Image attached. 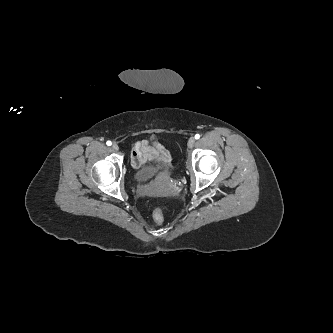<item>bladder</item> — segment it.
<instances>
[{"instance_id": "bladder-1", "label": "bladder", "mask_w": 333, "mask_h": 333, "mask_svg": "<svg viewBox=\"0 0 333 333\" xmlns=\"http://www.w3.org/2000/svg\"><path fill=\"white\" fill-rule=\"evenodd\" d=\"M159 167H160L159 163L147 164V165L139 168L135 172L134 177L139 181L150 180L156 175Z\"/></svg>"}]
</instances>
